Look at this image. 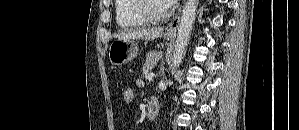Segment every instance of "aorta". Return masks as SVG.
I'll return each instance as SVG.
<instances>
[{
  "label": "aorta",
  "instance_id": "762f6f07",
  "mask_svg": "<svg viewBox=\"0 0 299 130\" xmlns=\"http://www.w3.org/2000/svg\"><path fill=\"white\" fill-rule=\"evenodd\" d=\"M198 0H186L182 10L181 19L178 25V34L175 44V51L172 57V72L181 63L186 53L193 24L196 18Z\"/></svg>",
  "mask_w": 299,
  "mask_h": 130
}]
</instances>
